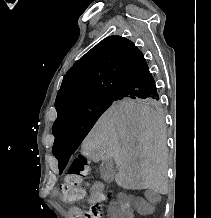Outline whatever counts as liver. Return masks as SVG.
I'll return each instance as SVG.
<instances>
[{"label": "liver", "mask_w": 211, "mask_h": 218, "mask_svg": "<svg viewBox=\"0 0 211 218\" xmlns=\"http://www.w3.org/2000/svg\"><path fill=\"white\" fill-rule=\"evenodd\" d=\"M115 160V182L125 190L167 194V148L164 124L148 108L113 104L82 144L84 156Z\"/></svg>", "instance_id": "liver-1"}]
</instances>
